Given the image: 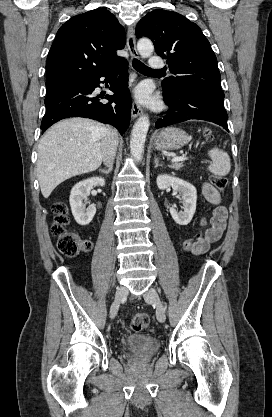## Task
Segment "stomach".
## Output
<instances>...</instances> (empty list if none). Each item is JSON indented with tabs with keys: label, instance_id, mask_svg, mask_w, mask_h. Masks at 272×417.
Here are the masks:
<instances>
[{
	"label": "stomach",
	"instance_id": "obj_1",
	"mask_svg": "<svg viewBox=\"0 0 272 417\" xmlns=\"http://www.w3.org/2000/svg\"><path fill=\"white\" fill-rule=\"evenodd\" d=\"M190 141L188 134L177 127L161 130L154 138V146L158 150H178Z\"/></svg>",
	"mask_w": 272,
	"mask_h": 417
}]
</instances>
